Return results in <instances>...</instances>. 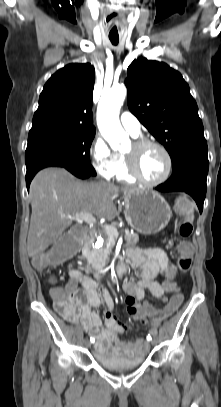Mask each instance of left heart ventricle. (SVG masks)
Returning <instances> with one entry per match:
<instances>
[{
	"instance_id": "left-heart-ventricle-1",
	"label": "left heart ventricle",
	"mask_w": 221,
	"mask_h": 407,
	"mask_svg": "<svg viewBox=\"0 0 221 407\" xmlns=\"http://www.w3.org/2000/svg\"><path fill=\"white\" fill-rule=\"evenodd\" d=\"M133 144L125 151L126 154L134 153ZM138 168L141 174L148 180L161 179L167 170V160L165 155L157 148H147L137 156Z\"/></svg>"
}]
</instances>
